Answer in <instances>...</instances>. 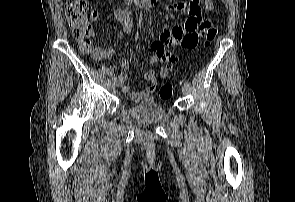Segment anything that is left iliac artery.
I'll use <instances>...</instances> for the list:
<instances>
[{
  "label": "left iliac artery",
  "instance_id": "44dca946",
  "mask_svg": "<svg viewBox=\"0 0 295 202\" xmlns=\"http://www.w3.org/2000/svg\"><path fill=\"white\" fill-rule=\"evenodd\" d=\"M184 85L190 86V82L189 81H185Z\"/></svg>",
  "mask_w": 295,
  "mask_h": 202
}]
</instances>
